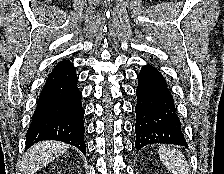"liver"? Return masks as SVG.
<instances>
[{"instance_id":"obj_1","label":"liver","mask_w":224,"mask_h":174,"mask_svg":"<svg viewBox=\"0 0 224 174\" xmlns=\"http://www.w3.org/2000/svg\"><path fill=\"white\" fill-rule=\"evenodd\" d=\"M69 149V145L58 141H42L36 143L25 153L21 164L22 174H35L56 157Z\"/></svg>"}]
</instances>
